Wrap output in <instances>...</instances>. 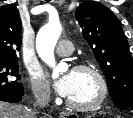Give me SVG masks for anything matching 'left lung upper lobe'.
Instances as JSON below:
<instances>
[{"mask_svg": "<svg viewBox=\"0 0 133 118\" xmlns=\"http://www.w3.org/2000/svg\"><path fill=\"white\" fill-rule=\"evenodd\" d=\"M75 18L105 75L114 104L120 109L132 111L133 60L119 19L96 1L81 3Z\"/></svg>", "mask_w": 133, "mask_h": 118, "instance_id": "5c2ea615", "label": "left lung upper lobe"}]
</instances>
